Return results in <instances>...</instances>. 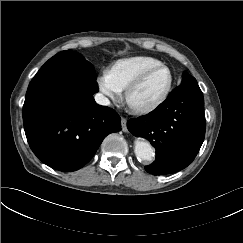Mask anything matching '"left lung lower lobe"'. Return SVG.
<instances>
[{"label":"left lung lower lobe","instance_id":"left-lung-lower-lobe-1","mask_svg":"<svg viewBox=\"0 0 243 243\" xmlns=\"http://www.w3.org/2000/svg\"><path fill=\"white\" fill-rule=\"evenodd\" d=\"M127 127L156 149L155 162L145 166L148 173L162 175L184 169L196 157L205 136L204 99L198 84L179 85L155 110L130 119Z\"/></svg>","mask_w":243,"mask_h":243}]
</instances>
